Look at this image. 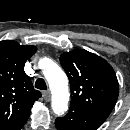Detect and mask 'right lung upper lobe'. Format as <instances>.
<instances>
[{
  "label": "right lung upper lobe",
  "instance_id": "right-lung-upper-lobe-1",
  "mask_svg": "<svg viewBox=\"0 0 130 130\" xmlns=\"http://www.w3.org/2000/svg\"><path fill=\"white\" fill-rule=\"evenodd\" d=\"M36 50L13 40L0 42V130H20L41 97L24 72L25 62Z\"/></svg>",
  "mask_w": 130,
  "mask_h": 130
}]
</instances>
